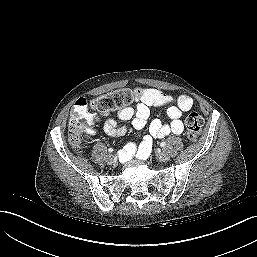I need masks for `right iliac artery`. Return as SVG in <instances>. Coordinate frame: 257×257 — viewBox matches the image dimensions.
<instances>
[{"instance_id":"82829eb1","label":"right iliac artery","mask_w":257,"mask_h":257,"mask_svg":"<svg viewBox=\"0 0 257 257\" xmlns=\"http://www.w3.org/2000/svg\"><path fill=\"white\" fill-rule=\"evenodd\" d=\"M108 151L111 153V152H113L114 150H113V148H109V149H108ZM121 154H122V151H121V152H119V156H120V158H121Z\"/></svg>"}]
</instances>
